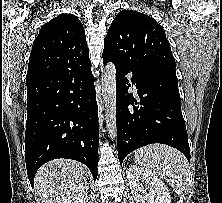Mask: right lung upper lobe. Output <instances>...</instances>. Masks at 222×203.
<instances>
[{
  "mask_svg": "<svg viewBox=\"0 0 222 203\" xmlns=\"http://www.w3.org/2000/svg\"><path fill=\"white\" fill-rule=\"evenodd\" d=\"M91 65L84 27L72 14H61L43 25L33 42L26 82L56 72Z\"/></svg>",
  "mask_w": 222,
  "mask_h": 203,
  "instance_id": "obj_1",
  "label": "right lung upper lobe"
}]
</instances>
